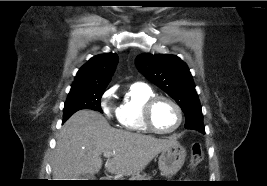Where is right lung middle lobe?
Instances as JSON below:
<instances>
[{
    "label": "right lung middle lobe",
    "instance_id": "right-lung-middle-lobe-1",
    "mask_svg": "<svg viewBox=\"0 0 267 186\" xmlns=\"http://www.w3.org/2000/svg\"><path fill=\"white\" fill-rule=\"evenodd\" d=\"M104 89L70 91L63 109V122L81 109H91L103 113L100 105Z\"/></svg>",
    "mask_w": 267,
    "mask_h": 186
}]
</instances>
